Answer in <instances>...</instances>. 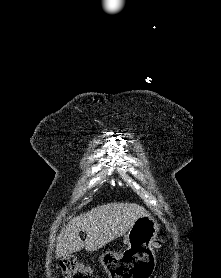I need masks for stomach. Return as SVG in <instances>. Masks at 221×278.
<instances>
[{
	"mask_svg": "<svg viewBox=\"0 0 221 278\" xmlns=\"http://www.w3.org/2000/svg\"><path fill=\"white\" fill-rule=\"evenodd\" d=\"M158 231L159 225L150 215L136 219L126 235L128 251L113 255L104 253L100 256V262L110 278H149V275H154L153 244Z\"/></svg>",
	"mask_w": 221,
	"mask_h": 278,
	"instance_id": "1",
	"label": "stomach"
}]
</instances>
